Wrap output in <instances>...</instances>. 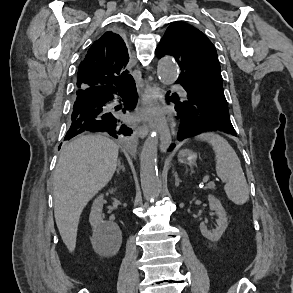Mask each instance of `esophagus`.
<instances>
[{
  "mask_svg": "<svg viewBox=\"0 0 293 293\" xmlns=\"http://www.w3.org/2000/svg\"><path fill=\"white\" fill-rule=\"evenodd\" d=\"M159 94L160 91L157 84L146 81L142 95V107L158 103ZM151 124H143L137 128V134L140 138H144L147 135ZM157 128L162 135L160 149L161 151H166L169 146V128L165 117L162 116L158 119Z\"/></svg>",
  "mask_w": 293,
  "mask_h": 293,
  "instance_id": "34e87169",
  "label": "esophagus"
}]
</instances>
